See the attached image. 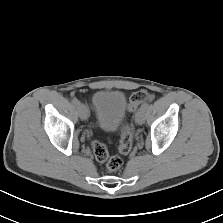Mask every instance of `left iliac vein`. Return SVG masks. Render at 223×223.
<instances>
[{
	"mask_svg": "<svg viewBox=\"0 0 223 223\" xmlns=\"http://www.w3.org/2000/svg\"><path fill=\"white\" fill-rule=\"evenodd\" d=\"M135 121L138 125H142L145 121V116H144V110L143 109H139L136 113H135Z\"/></svg>",
	"mask_w": 223,
	"mask_h": 223,
	"instance_id": "1",
	"label": "left iliac vein"
}]
</instances>
